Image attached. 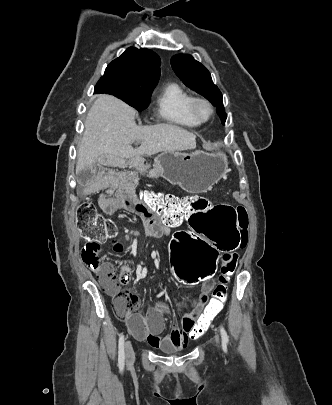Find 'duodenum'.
<instances>
[{
    "instance_id": "duodenum-1",
    "label": "duodenum",
    "mask_w": 332,
    "mask_h": 405,
    "mask_svg": "<svg viewBox=\"0 0 332 405\" xmlns=\"http://www.w3.org/2000/svg\"><path fill=\"white\" fill-rule=\"evenodd\" d=\"M151 218H152L154 221H159V220H160V217H159V216H156V215H155V212H152V213H151Z\"/></svg>"
}]
</instances>
